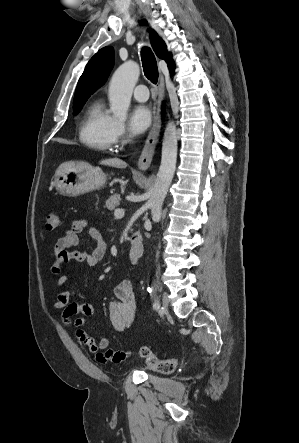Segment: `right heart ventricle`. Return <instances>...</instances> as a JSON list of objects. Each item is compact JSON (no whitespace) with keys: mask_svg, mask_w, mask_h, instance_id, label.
Here are the masks:
<instances>
[{"mask_svg":"<svg viewBox=\"0 0 299 443\" xmlns=\"http://www.w3.org/2000/svg\"><path fill=\"white\" fill-rule=\"evenodd\" d=\"M114 119L105 110L100 101L93 102L84 113L79 126V139L86 147L94 151L108 152L114 145Z\"/></svg>","mask_w":299,"mask_h":443,"instance_id":"e07e8e85","label":"right heart ventricle"}]
</instances>
